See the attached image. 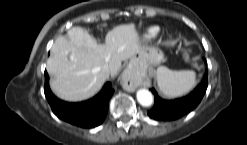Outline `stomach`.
<instances>
[{"mask_svg": "<svg viewBox=\"0 0 247 145\" xmlns=\"http://www.w3.org/2000/svg\"><path fill=\"white\" fill-rule=\"evenodd\" d=\"M163 61V52L158 48L150 47L131 58L129 69L137 73H144Z\"/></svg>", "mask_w": 247, "mask_h": 145, "instance_id": "stomach-1", "label": "stomach"}]
</instances>
